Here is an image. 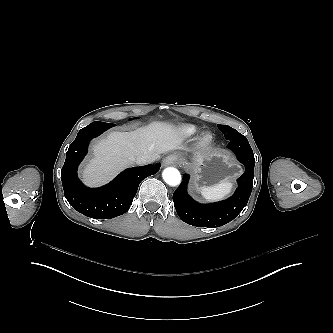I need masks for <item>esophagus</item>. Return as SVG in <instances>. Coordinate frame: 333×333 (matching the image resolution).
I'll return each instance as SVG.
<instances>
[{"label":"esophagus","mask_w":333,"mask_h":333,"mask_svg":"<svg viewBox=\"0 0 333 333\" xmlns=\"http://www.w3.org/2000/svg\"><path fill=\"white\" fill-rule=\"evenodd\" d=\"M179 156L177 154H170L163 159L164 165H172L178 162Z\"/></svg>","instance_id":"1"}]
</instances>
